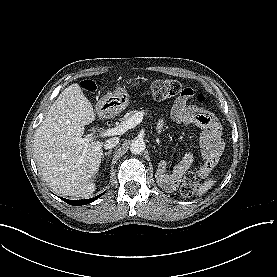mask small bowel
Returning <instances> with one entry per match:
<instances>
[{"label": "small bowel", "mask_w": 277, "mask_h": 277, "mask_svg": "<svg viewBox=\"0 0 277 277\" xmlns=\"http://www.w3.org/2000/svg\"><path fill=\"white\" fill-rule=\"evenodd\" d=\"M188 97L190 96L179 97L175 100L170 111V117L178 124H193L206 129L202 135L199 148L201 156L209 160L214 154H219L222 151V126L212 111L187 105ZM164 126L165 120H159L157 129L161 130ZM191 171L203 177L206 174L207 167L206 165L195 166L193 154L187 153L177 164V172L182 176Z\"/></svg>", "instance_id": "obj_1"}]
</instances>
